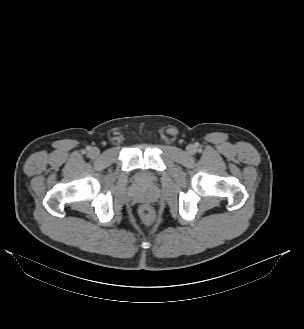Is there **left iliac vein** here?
Returning a JSON list of instances; mask_svg holds the SVG:
<instances>
[{
  "label": "left iliac vein",
  "instance_id": "left-iliac-vein-1",
  "mask_svg": "<svg viewBox=\"0 0 304 329\" xmlns=\"http://www.w3.org/2000/svg\"><path fill=\"white\" fill-rule=\"evenodd\" d=\"M187 151L189 154H194L195 153V147L193 145H189L187 147Z\"/></svg>",
  "mask_w": 304,
  "mask_h": 329
}]
</instances>
